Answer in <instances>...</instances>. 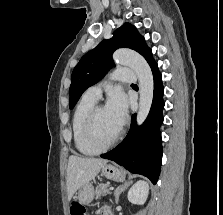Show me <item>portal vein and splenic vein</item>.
Here are the masks:
<instances>
[{
    "label": "portal vein and splenic vein",
    "mask_w": 223,
    "mask_h": 215,
    "mask_svg": "<svg viewBox=\"0 0 223 215\" xmlns=\"http://www.w3.org/2000/svg\"><path fill=\"white\" fill-rule=\"evenodd\" d=\"M115 188L116 187L115 186H112V185L111 186H108L109 191H112V192L115 190Z\"/></svg>",
    "instance_id": "1"
}]
</instances>
